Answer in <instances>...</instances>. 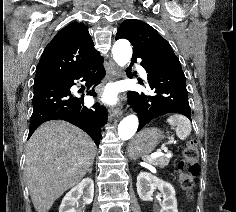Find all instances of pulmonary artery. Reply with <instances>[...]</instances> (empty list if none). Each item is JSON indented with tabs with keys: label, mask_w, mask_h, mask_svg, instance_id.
Listing matches in <instances>:
<instances>
[{
	"label": "pulmonary artery",
	"mask_w": 236,
	"mask_h": 212,
	"mask_svg": "<svg viewBox=\"0 0 236 212\" xmlns=\"http://www.w3.org/2000/svg\"><path fill=\"white\" fill-rule=\"evenodd\" d=\"M139 73L142 77L146 78L147 77V73L145 72V70L142 67H138Z\"/></svg>",
	"instance_id": "e3ab8cb5"
}]
</instances>
